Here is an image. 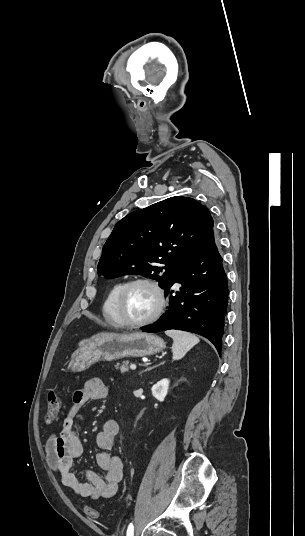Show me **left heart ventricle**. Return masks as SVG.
Masks as SVG:
<instances>
[{
  "instance_id": "1",
  "label": "left heart ventricle",
  "mask_w": 305,
  "mask_h": 536,
  "mask_svg": "<svg viewBox=\"0 0 305 536\" xmlns=\"http://www.w3.org/2000/svg\"><path fill=\"white\" fill-rule=\"evenodd\" d=\"M157 304V295L151 287L145 284L133 285L124 297V318L130 322L143 320L155 311Z\"/></svg>"
}]
</instances>
